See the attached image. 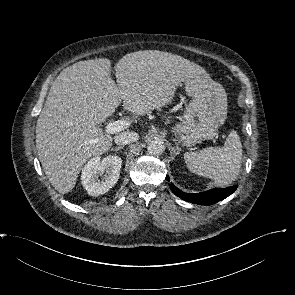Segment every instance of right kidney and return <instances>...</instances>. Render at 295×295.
Instances as JSON below:
<instances>
[{"label": "right kidney", "mask_w": 295, "mask_h": 295, "mask_svg": "<svg viewBox=\"0 0 295 295\" xmlns=\"http://www.w3.org/2000/svg\"><path fill=\"white\" fill-rule=\"evenodd\" d=\"M122 159L118 156L92 158L82 170L81 180L83 187L91 196L106 193L118 181ZM99 176L101 179H99Z\"/></svg>", "instance_id": "obj_1"}]
</instances>
